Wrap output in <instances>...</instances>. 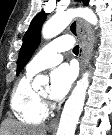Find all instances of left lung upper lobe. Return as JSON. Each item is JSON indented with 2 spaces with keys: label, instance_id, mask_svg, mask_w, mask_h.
Segmentation results:
<instances>
[{
  "label": "left lung upper lobe",
  "instance_id": "obj_1",
  "mask_svg": "<svg viewBox=\"0 0 112 135\" xmlns=\"http://www.w3.org/2000/svg\"><path fill=\"white\" fill-rule=\"evenodd\" d=\"M81 1V0H79ZM82 2L87 5L89 0H82ZM46 19V14L44 12L39 13L31 21L30 26L23 38V44L20 49L18 63H17V75L22 71L24 66L27 64L31 55L37 48L40 37H41V27Z\"/></svg>",
  "mask_w": 112,
  "mask_h": 135
}]
</instances>
